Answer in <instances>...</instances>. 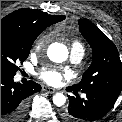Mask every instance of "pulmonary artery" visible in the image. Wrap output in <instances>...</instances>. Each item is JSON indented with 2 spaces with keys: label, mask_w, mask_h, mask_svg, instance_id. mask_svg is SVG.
I'll return each instance as SVG.
<instances>
[{
  "label": "pulmonary artery",
  "mask_w": 122,
  "mask_h": 122,
  "mask_svg": "<svg viewBox=\"0 0 122 122\" xmlns=\"http://www.w3.org/2000/svg\"><path fill=\"white\" fill-rule=\"evenodd\" d=\"M84 56V50L80 47L73 46L70 52V60L72 63H79ZM85 95H83L84 97Z\"/></svg>",
  "instance_id": "e3ab8cb5"
}]
</instances>
